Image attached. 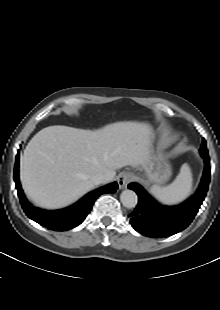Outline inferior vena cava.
Returning a JSON list of instances; mask_svg holds the SVG:
<instances>
[{"label": "inferior vena cava", "instance_id": "1", "mask_svg": "<svg viewBox=\"0 0 220 310\" xmlns=\"http://www.w3.org/2000/svg\"><path fill=\"white\" fill-rule=\"evenodd\" d=\"M91 181L94 185H99L101 183H105L108 181L107 176H105L104 174L98 173L96 175H93L91 177Z\"/></svg>", "mask_w": 220, "mask_h": 310}]
</instances>
